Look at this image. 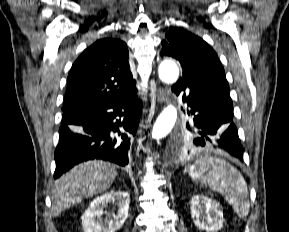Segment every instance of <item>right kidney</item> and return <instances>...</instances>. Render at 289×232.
<instances>
[{
	"label": "right kidney",
	"instance_id": "ca27d5eb",
	"mask_svg": "<svg viewBox=\"0 0 289 232\" xmlns=\"http://www.w3.org/2000/svg\"><path fill=\"white\" fill-rule=\"evenodd\" d=\"M109 203L117 206V214L112 218L103 219ZM130 195L125 191H110L94 199L82 215L84 232H115L121 229L128 216Z\"/></svg>",
	"mask_w": 289,
	"mask_h": 232
}]
</instances>
